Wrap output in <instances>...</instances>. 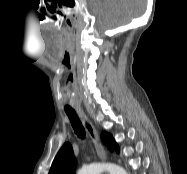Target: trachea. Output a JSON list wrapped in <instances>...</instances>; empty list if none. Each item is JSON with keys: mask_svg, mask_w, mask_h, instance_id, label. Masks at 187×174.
Returning a JSON list of instances; mask_svg holds the SVG:
<instances>
[{"mask_svg": "<svg viewBox=\"0 0 187 174\" xmlns=\"http://www.w3.org/2000/svg\"><path fill=\"white\" fill-rule=\"evenodd\" d=\"M65 112L70 119V122L72 124L75 133L78 135L79 138H84L85 130L76 112L73 109H68V108L65 109Z\"/></svg>", "mask_w": 187, "mask_h": 174, "instance_id": "1", "label": "trachea"}]
</instances>
